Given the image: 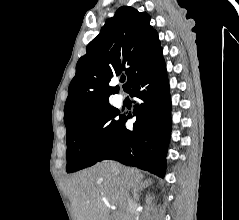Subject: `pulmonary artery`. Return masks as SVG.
Listing matches in <instances>:
<instances>
[{
	"label": "pulmonary artery",
	"instance_id": "pulmonary-artery-1",
	"mask_svg": "<svg viewBox=\"0 0 239 220\" xmlns=\"http://www.w3.org/2000/svg\"><path fill=\"white\" fill-rule=\"evenodd\" d=\"M115 103H116L117 105H120V104L122 103L121 97H117L116 100H115Z\"/></svg>",
	"mask_w": 239,
	"mask_h": 220
}]
</instances>
